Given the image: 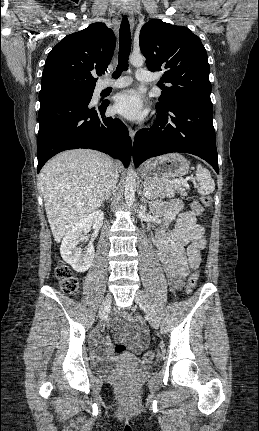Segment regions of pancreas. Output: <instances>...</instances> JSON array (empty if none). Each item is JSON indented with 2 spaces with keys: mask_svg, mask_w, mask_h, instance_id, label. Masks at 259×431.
<instances>
[{
  "mask_svg": "<svg viewBox=\"0 0 259 431\" xmlns=\"http://www.w3.org/2000/svg\"><path fill=\"white\" fill-rule=\"evenodd\" d=\"M144 187L150 191L148 196L149 200H155L157 198H172L175 193H179L181 196H187L186 185L176 183L174 180H151L144 182Z\"/></svg>",
  "mask_w": 259,
  "mask_h": 431,
  "instance_id": "pancreas-1",
  "label": "pancreas"
}]
</instances>
